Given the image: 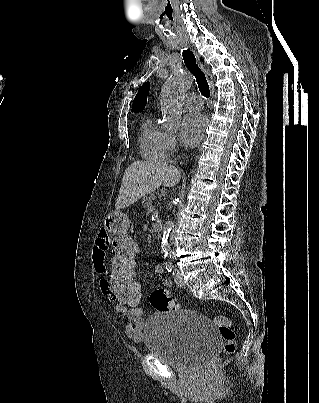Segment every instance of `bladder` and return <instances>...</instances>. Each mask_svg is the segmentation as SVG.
<instances>
[{
	"label": "bladder",
	"mask_w": 319,
	"mask_h": 403,
	"mask_svg": "<svg viewBox=\"0 0 319 403\" xmlns=\"http://www.w3.org/2000/svg\"><path fill=\"white\" fill-rule=\"evenodd\" d=\"M144 342L150 354L180 371L199 368L220 347L211 321L191 310L151 314L144 327Z\"/></svg>",
	"instance_id": "1"
}]
</instances>
